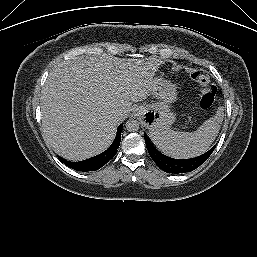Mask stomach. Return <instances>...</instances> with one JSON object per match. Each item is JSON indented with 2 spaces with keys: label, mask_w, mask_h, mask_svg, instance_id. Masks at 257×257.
Segmentation results:
<instances>
[{
  "label": "stomach",
  "mask_w": 257,
  "mask_h": 257,
  "mask_svg": "<svg viewBox=\"0 0 257 257\" xmlns=\"http://www.w3.org/2000/svg\"><path fill=\"white\" fill-rule=\"evenodd\" d=\"M150 94L159 99V102L135 107L133 113L143 119L150 132L166 129L175 121V114L170 110L169 104L177 99L176 86L162 77H154Z\"/></svg>",
  "instance_id": "stomach-1"
}]
</instances>
